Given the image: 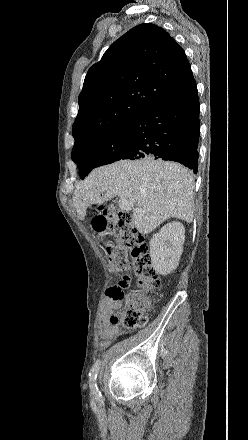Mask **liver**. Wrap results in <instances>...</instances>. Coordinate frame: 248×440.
Wrapping results in <instances>:
<instances>
[{"label":"liver","instance_id":"1","mask_svg":"<svg viewBox=\"0 0 248 440\" xmlns=\"http://www.w3.org/2000/svg\"><path fill=\"white\" fill-rule=\"evenodd\" d=\"M194 177L182 165L155 160H121L94 169L73 194L78 218L84 220L90 205L118 196L132 201V222L148 234L169 218L192 222ZM102 193V196H101Z\"/></svg>","mask_w":248,"mask_h":440}]
</instances>
